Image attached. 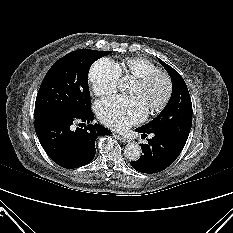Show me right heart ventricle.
Returning <instances> with one entry per match:
<instances>
[{
    "instance_id": "1",
    "label": "right heart ventricle",
    "mask_w": 233,
    "mask_h": 233,
    "mask_svg": "<svg viewBox=\"0 0 233 233\" xmlns=\"http://www.w3.org/2000/svg\"><path fill=\"white\" fill-rule=\"evenodd\" d=\"M116 65L119 69L120 75L124 74L134 78H138L146 73L158 70L157 66L153 62L141 57L128 58Z\"/></svg>"
}]
</instances>
